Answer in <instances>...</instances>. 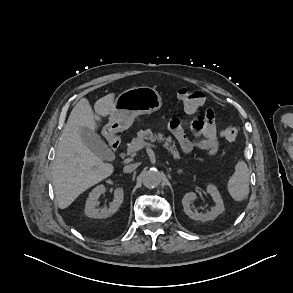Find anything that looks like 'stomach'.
Here are the masks:
<instances>
[{
	"label": "stomach",
	"mask_w": 293,
	"mask_h": 293,
	"mask_svg": "<svg viewBox=\"0 0 293 293\" xmlns=\"http://www.w3.org/2000/svg\"><path fill=\"white\" fill-rule=\"evenodd\" d=\"M162 98L151 87H134L120 93L113 102V111L105 129L109 133L127 130L138 115L160 110Z\"/></svg>",
	"instance_id": "0dacf381"
}]
</instances>
